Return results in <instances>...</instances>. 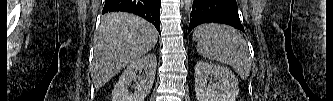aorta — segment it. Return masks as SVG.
I'll return each mask as SVG.
<instances>
[{
  "mask_svg": "<svg viewBox=\"0 0 333 101\" xmlns=\"http://www.w3.org/2000/svg\"><path fill=\"white\" fill-rule=\"evenodd\" d=\"M185 3V10L188 12L193 4L192 0H184Z\"/></svg>",
  "mask_w": 333,
  "mask_h": 101,
  "instance_id": "aorta-1",
  "label": "aorta"
}]
</instances>
